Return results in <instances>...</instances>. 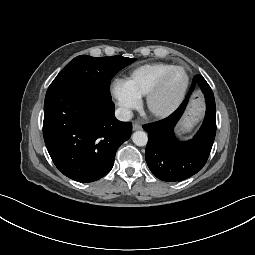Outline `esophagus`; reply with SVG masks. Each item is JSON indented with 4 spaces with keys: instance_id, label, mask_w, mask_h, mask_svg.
Listing matches in <instances>:
<instances>
[{
    "instance_id": "esophagus-1",
    "label": "esophagus",
    "mask_w": 255,
    "mask_h": 255,
    "mask_svg": "<svg viewBox=\"0 0 255 255\" xmlns=\"http://www.w3.org/2000/svg\"><path fill=\"white\" fill-rule=\"evenodd\" d=\"M140 129H142V126L139 124V123H134L133 124V130H140Z\"/></svg>"
}]
</instances>
